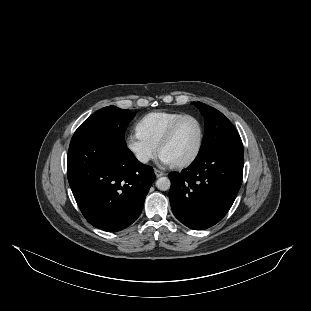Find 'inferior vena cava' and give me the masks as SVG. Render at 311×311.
Returning <instances> with one entry per match:
<instances>
[{"instance_id": "1", "label": "inferior vena cava", "mask_w": 311, "mask_h": 311, "mask_svg": "<svg viewBox=\"0 0 311 311\" xmlns=\"http://www.w3.org/2000/svg\"><path fill=\"white\" fill-rule=\"evenodd\" d=\"M136 158L142 163H147L149 161V157L144 154H136Z\"/></svg>"}]
</instances>
